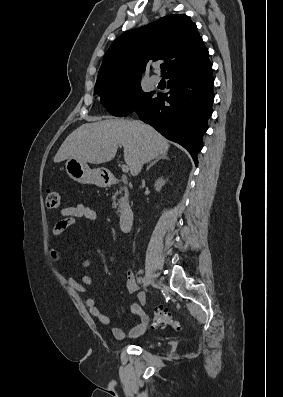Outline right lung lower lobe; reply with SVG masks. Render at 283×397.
Returning <instances> with one entry per match:
<instances>
[{
  "label": "right lung lower lobe",
  "mask_w": 283,
  "mask_h": 397,
  "mask_svg": "<svg viewBox=\"0 0 283 397\" xmlns=\"http://www.w3.org/2000/svg\"><path fill=\"white\" fill-rule=\"evenodd\" d=\"M212 64L208 58L180 67L168 75L169 93L158 94L140 105V120L150 124L167 139L188 150L197 165L202 137L212 115L214 92Z\"/></svg>",
  "instance_id": "1"
}]
</instances>
